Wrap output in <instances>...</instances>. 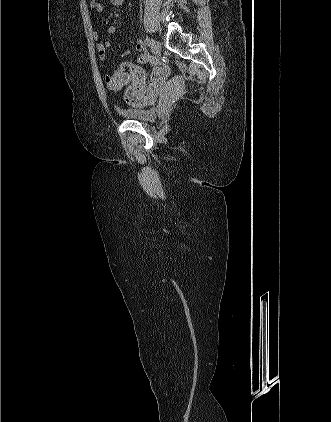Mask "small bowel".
<instances>
[{
    "label": "small bowel",
    "instance_id": "c3829d8e",
    "mask_svg": "<svg viewBox=\"0 0 331 422\" xmlns=\"http://www.w3.org/2000/svg\"><path fill=\"white\" fill-rule=\"evenodd\" d=\"M110 3L114 6H121L124 3V0H109ZM89 9L93 14H97L103 11V5L101 3L100 0H89ZM117 27L116 26H110L107 29V36L105 38L104 41L102 42H98L96 45V51L99 57V60L101 62H104L106 60V55H107V50L108 48L111 46V35L116 32ZM92 38L95 41H99L100 40V34L97 31H93L92 32ZM136 49L138 51H144L145 49V44L143 43L142 40H139L136 44ZM130 53L129 49H126L125 51L122 52V56H127ZM148 56L149 54L146 52L141 53L137 58H136V63L137 64H145L148 61ZM106 84L107 87L112 90V91H118L120 92L123 88L124 85L120 86L119 88H116L111 79L110 76L106 77ZM133 86L137 89V91L145 96L148 97L150 100V103L153 102L155 100V98L163 91L164 89V81L163 78L160 77H156L154 72L152 75V80L149 84H147L146 82V77L144 76L141 80L136 81L133 83ZM128 101V100H127ZM130 104L134 105V106H142L145 105L143 103H139V102H132V101H128ZM149 104V103H148Z\"/></svg>",
    "mask_w": 331,
    "mask_h": 422
}]
</instances>
